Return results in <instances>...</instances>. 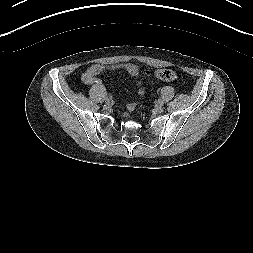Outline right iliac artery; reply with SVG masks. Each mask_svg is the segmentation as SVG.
Here are the masks:
<instances>
[{
  "instance_id": "obj_1",
  "label": "right iliac artery",
  "mask_w": 253,
  "mask_h": 253,
  "mask_svg": "<svg viewBox=\"0 0 253 253\" xmlns=\"http://www.w3.org/2000/svg\"><path fill=\"white\" fill-rule=\"evenodd\" d=\"M110 97H111L110 95L107 96V98H110Z\"/></svg>"
}]
</instances>
